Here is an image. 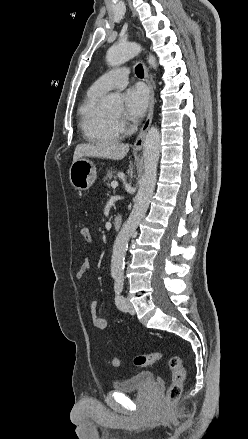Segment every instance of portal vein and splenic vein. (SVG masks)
I'll return each instance as SVG.
<instances>
[{
    "label": "portal vein and splenic vein",
    "mask_w": 248,
    "mask_h": 439,
    "mask_svg": "<svg viewBox=\"0 0 248 439\" xmlns=\"http://www.w3.org/2000/svg\"><path fill=\"white\" fill-rule=\"evenodd\" d=\"M111 187L112 188H117L118 187V182L117 181L111 182Z\"/></svg>",
    "instance_id": "18ae733b"
}]
</instances>
